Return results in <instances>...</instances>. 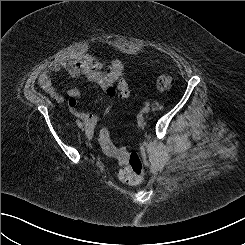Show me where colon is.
<instances>
[{"label": "colon", "instance_id": "5ec220e1", "mask_svg": "<svg viewBox=\"0 0 245 245\" xmlns=\"http://www.w3.org/2000/svg\"><path fill=\"white\" fill-rule=\"evenodd\" d=\"M174 78L163 73L157 77L156 86L160 91L172 88ZM99 143L102 150L109 156L118 160L121 165L118 171V178L127 184L135 185L144 178V168L141 156L137 152H128L125 149L116 147L110 139L109 131L103 128L99 133Z\"/></svg>", "mask_w": 245, "mask_h": 245}]
</instances>
